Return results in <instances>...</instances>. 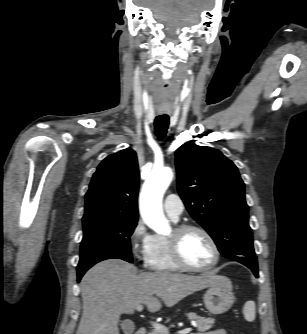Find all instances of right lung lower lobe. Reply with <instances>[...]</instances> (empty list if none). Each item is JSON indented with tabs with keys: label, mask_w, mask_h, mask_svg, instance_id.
Masks as SVG:
<instances>
[{
	"label": "right lung lower lobe",
	"mask_w": 307,
	"mask_h": 334,
	"mask_svg": "<svg viewBox=\"0 0 307 334\" xmlns=\"http://www.w3.org/2000/svg\"><path fill=\"white\" fill-rule=\"evenodd\" d=\"M84 273H78V281H80L81 277L83 276Z\"/></svg>",
	"instance_id": "right-lung-lower-lobe-1"
}]
</instances>
